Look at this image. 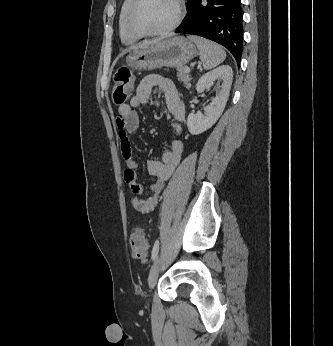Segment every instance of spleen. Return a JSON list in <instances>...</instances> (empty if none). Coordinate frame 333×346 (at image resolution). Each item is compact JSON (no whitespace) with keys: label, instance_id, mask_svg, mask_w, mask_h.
I'll return each instance as SVG.
<instances>
[{"label":"spleen","instance_id":"3e777b00","mask_svg":"<svg viewBox=\"0 0 333 346\" xmlns=\"http://www.w3.org/2000/svg\"><path fill=\"white\" fill-rule=\"evenodd\" d=\"M188 38L197 45L204 69H212L225 60V51L216 43L198 36Z\"/></svg>","mask_w":333,"mask_h":346}]
</instances>
